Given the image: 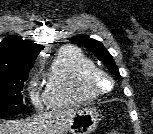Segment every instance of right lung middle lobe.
Instances as JSON below:
<instances>
[{
	"mask_svg": "<svg viewBox=\"0 0 153 134\" xmlns=\"http://www.w3.org/2000/svg\"><path fill=\"white\" fill-rule=\"evenodd\" d=\"M27 79L28 72L0 74V118L26 111L21 91Z\"/></svg>",
	"mask_w": 153,
	"mask_h": 134,
	"instance_id": "1",
	"label": "right lung middle lobe"
}]
</instances>
